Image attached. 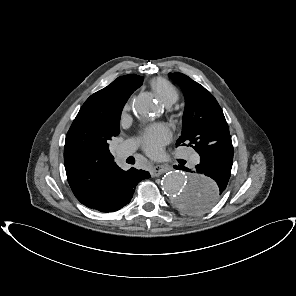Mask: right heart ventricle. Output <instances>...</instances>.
<instances>
[{
	"label": "right heart ventricle",
	"mask_w": 296,
	"mask_h": 296,
	"mask_svg": "<svg viewBox=\"0 0 296 296\" xmlns=\"http://www.w3.org/2000/svg\"><path fill=\"white\" fill-rule=\"evenodd\" d=\"M150 86L166 106H171L178 100V92L169 81L156 78L151 81Z\"/></svg>",
	"instance_id": "e07e8e85"
}]
</instances>
